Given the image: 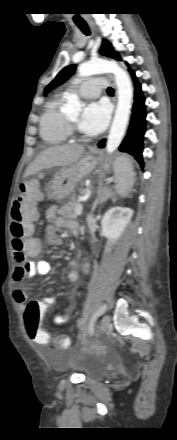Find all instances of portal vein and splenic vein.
I'll use <instances>...</instances> for the list:
<instances>
[{
    "label": "portal vein and splenic vein",
    "instance_id": "obj_1",
    "mask_svg": "<svg viewBox=\"0 0 177 440\" xmlns=\"http://www.w3.org/2000/svg\"><path fill=\"white\" fill-rule=\"evenodd\" d=\"M86 197H87V196H84V197H81L80 199H81V200H85ZM81 213H82V206L79 205V206H77V208H76V210H75V214H76V215H81Z\"/></svg>",
    "mask_w": 177,
    "mask_h": 440
}]
</instances>
